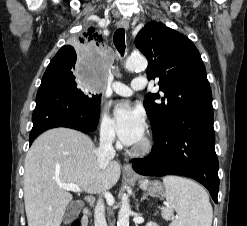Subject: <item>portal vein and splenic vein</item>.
Here are the masks:
<instances>
[{"label": "portal vein and splenic vein", "instance_id": "18ae733b", "mask_svg": "<svg viewBox=\"0 0 247 226\" xmlns=\"http://www.w3.org/2000/svg\"><path fill=\"white\" fill-rule=\"evenodd\" d=\"M59 187L64 190L72 191L76 193L82 192V189L78 185L73 184V183H69V184L59 183Z\"/></svg>", "mask_w": 247, "mask_h": 226}]
</instances>
